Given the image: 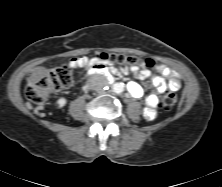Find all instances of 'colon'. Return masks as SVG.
<instances>
[{
  "label": "colon",
  "instance_id": "1",
  "mask_svg": "<svg viewBox=\"0 0 222 187\" xmlns=\"http://www.w3.org/2000/svg\"><path fill=\"white\" fill-rule=\"evenodd\" d=\"M96 60L99 62L96 68H102L106 63H118L127 67L153 66V61L150 59L124 54L101 53L97 55ZM72 80V71L67 66L57 68L38 66L28 77L25 89L26 98L35 104H45L54 93L70 87ZM176 101L177 96L172 92L164 94L161 99L162 106L166 109L172 108Z\"/></svg>",
  "mask_w": 222,
  "mask_h": 187
}]
</instances>
